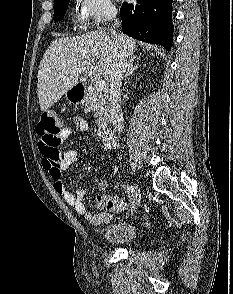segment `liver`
I'll return each mask as SVG.
<instances>
[{
  "label": "liver",
  "mask_w": 233,
  "mask_h": 294,
  "mask_svg": "<svg viewBox=\"0 0 233 294\" xmlns=\"http://www.w3.org/2000/svg\"><path fill=\"white\" fill-rule=\"evenodd\" d=\"M120 46L127 57H132L136 40L122 33ZM117 48L111 32L92 31L73 38L55 39L39 65L37 94L42 111H47L78 84L80 75L96 59L93 73L109 80Z\"/></svg>",
  "instance_id": "obj_1"
}]
</instances>
